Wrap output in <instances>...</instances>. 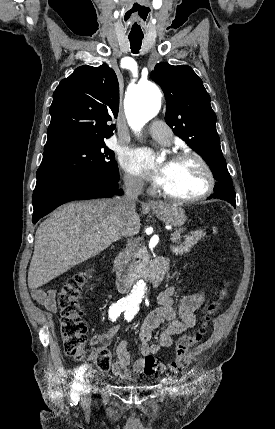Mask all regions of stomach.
<instances>
[{"label": "stomach", "mask_w": 275, "mask_h": 429, "mask_svg": "<svg viewBox=\"0 0 275 429\" xmlns=\"http://www.w3.org/2000/svg\"><path fill=\"white\" fill-rule=\"evenodd\" d=\"M153 211L161 221L171 226L179 227L186 221L185 211L177 205L160 203Z\"/></svg>", "instance_id": "1"}]
</instances>
